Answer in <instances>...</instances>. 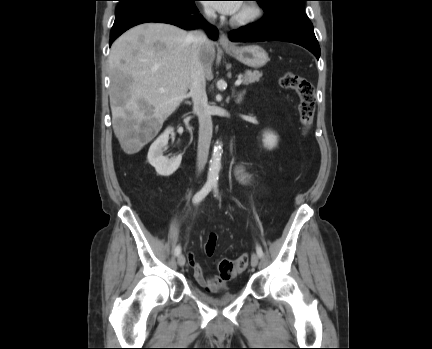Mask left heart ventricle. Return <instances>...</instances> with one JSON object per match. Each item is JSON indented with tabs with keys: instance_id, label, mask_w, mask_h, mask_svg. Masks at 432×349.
Instances as JSON below:
<instances>
[{
	"instance_id": "b2bd125f",
	"label": "left heart ventricle",
	"mask_w": 432,
	"mask_h": 349,
	"mask_svg": "<svg viewBox=\"0 0 432 349\" xmlns=\"http://www.w3.org/2000/svg\"><path fill=\"white\" fill-rule=\"evenodd\" d=\"M247 12V9L244 6H241L238 12L235 15H244Z\"/></svg>"
}]
</instances>
